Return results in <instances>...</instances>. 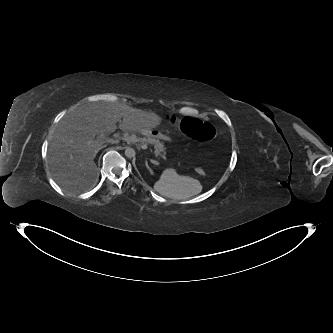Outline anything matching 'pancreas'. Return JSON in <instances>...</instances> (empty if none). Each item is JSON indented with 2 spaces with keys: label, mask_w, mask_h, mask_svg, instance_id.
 <instances>
[{
  "label": "pancreas",
  "mask_w": 333,
  "mask_h": 333,
  "mask_svg": "<svg viewBox=\"0 0 333 333\" xmlns=\"http://www.w3.org/2000/svg\"><path fill=\"white\" fill-rule=\"evenodd\" d=\"M145 140L147 143L155 146V148L159 151V156H162V157H164V159H166V157H165L166 148L163 145V143L159 141V139H156V138L152 137L149 133H146Z\"/></svg>",
  "instance_id": "obj_1"
}]
</instances>
